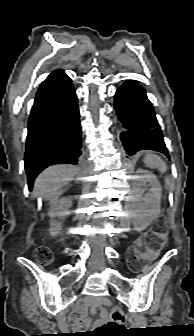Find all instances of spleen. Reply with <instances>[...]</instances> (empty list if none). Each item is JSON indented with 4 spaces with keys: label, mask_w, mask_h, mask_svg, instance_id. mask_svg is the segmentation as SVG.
Instances as JSON below:
<instances>
[{
    "label": "spleen",
    "mask_w": 194,
    "mask_h": 336,
    "mask_svg": "<svg viewBox=\"0 0 194 336\" xmlns=\"http://www.w3.org/2000/svg\"><path fill=\"white\" fill-rule=\"evenodd\" d=\"M144 163L150 168L159 169L161 172H166L167 170L166 163L157 154H153V153L146 154V156L144 157ZM165 184L166 186H170L169 178L165 179Z\"/></svg>",
    "instance_id": "3e777b00"
}]
</instances>
